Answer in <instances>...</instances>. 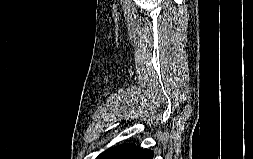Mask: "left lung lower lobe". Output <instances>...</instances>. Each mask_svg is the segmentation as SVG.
Returning <instances> with one entry per match:
<instances>
[{"label":"left lung lower lobe","mask_w":253,"mask_h":159,"mask_svg":"<svg viewBox=\"0 0 253 159\" xmlns=\"http://www.w3.org/2000/svg\"><path fill=\"white\" fill-rule=\"evenodd\" d=\"M97 159H153V152L140 149L132 144H122L109 148L100 154Z\"/></svg>","instance_id":"0a47b994"}]
</instances>
